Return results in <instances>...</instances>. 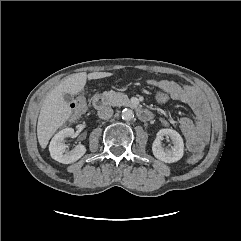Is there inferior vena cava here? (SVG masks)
<instances>
[{
    "instance_id": "602c4592",
    "label": "inferior vena cava",
    "mask_w": 241,
    "mask_h": 241,
    "mask_svg": "<svg viewBox=\"0 0 241 241\" xmlns=\"http://www.w3.org/2000/svg\"><path fill=\"white\" fill-rule=\"evenodd\" d=\"M97 114L101 119H109L113 115V109L109 106H104L98 110Z\"/></svg>"
}]
</instances>
